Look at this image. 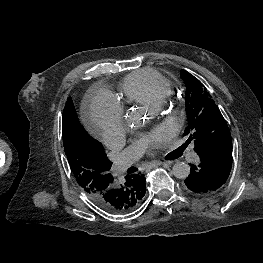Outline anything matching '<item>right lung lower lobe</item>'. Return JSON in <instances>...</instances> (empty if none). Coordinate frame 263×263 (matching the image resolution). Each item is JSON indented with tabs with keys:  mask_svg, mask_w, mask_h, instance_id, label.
Returning <instances> with one entry per match:
<instances>
[{
	"mask_svg": "<svg viewBox=\"0 0 263 263\" xmlns=\"http://www.w3.org/2000/svg\"><path fill=\"white\" fill-rule=\"evenodd\" d=\"M125 179L123 184L114 183L113 177L110 176L103 189L89 195L90 199L103 210L116 213L128 200L129 184L145 186V178L141 174L127 175Z\"/></svg>",
	"mask_w": 263,
	"mask_h": 263,
	"instance_id": "right-lung-lower-lobe-1",
	"label": "right lung lower lobe"
}]
</instances>
